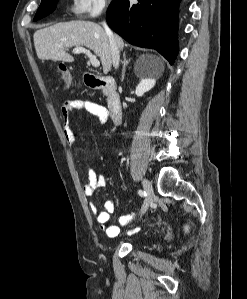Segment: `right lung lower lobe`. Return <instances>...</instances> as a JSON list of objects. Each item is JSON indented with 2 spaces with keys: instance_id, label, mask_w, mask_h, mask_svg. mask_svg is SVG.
Here are the masks:
<instances>
[{
  "instance_id": "right-lung-lower-lobe-1",
  "label": "right lung lower lobe",
  "mask_w": 247,
  "mask_h": 299,
  "mask_svg": "<svg viewBox=\"0 0 247 299\" xmlns=\"http://www.w3.org/2000/svg\"><path fill=\"white\" fill-rule=\"evenodd\" d=\"M179 4L180 0H113L106 19L126 41L156 49L172 65L178 54Z\"/></svg>"
}]
</instances>
